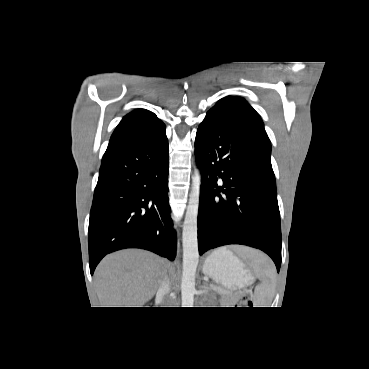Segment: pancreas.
<instances>
[{
  "instance_id": "cf45deb5",
  "label": "pancreas",
  "mask_w": 369,
  "mask_h": 369,
  "mask_svg": "<svg viewBox=\"0 0 369 369\" xmlns=\"http://www.w3.org/2000/svg\"><path fill=\"white\" fill-rule=\"evenodd\" d=\"M213 285V284H211ZM215 286V285H213ZM217 289H215V291L220 294L223 298V300L229 304V305H234L236 304V302L238 301L239 297L241 294L239 293H236V294H233L231 293L230 291L228 290H225V289H222V288H219L217 286H215ZM214 290V289H213Z\"/></svg>"
}]
</instances>
